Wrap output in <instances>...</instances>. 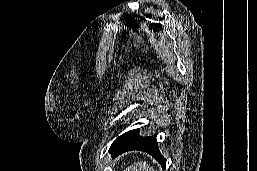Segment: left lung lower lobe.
Wrapping results in <instances>:
<instances>
[{"label": "left lung lower lobe", "instance_id": "obj_1", "mask_svg": "<svg viewBox=\"0 0 257 171\" xmlns=\"http://www.w3.org/2000/svg\"><path fill=\"white\" fill-rule=\"evenodd\" d=\"M140 150L147 152L155 158L165 169L166 159L160 154L155 136H139L138 129L131 130L119 136L111 145L109 152L116 157L124 152Z\"/></svg>", "mask_w": 257, "mask_h": 171}]
</instances>
